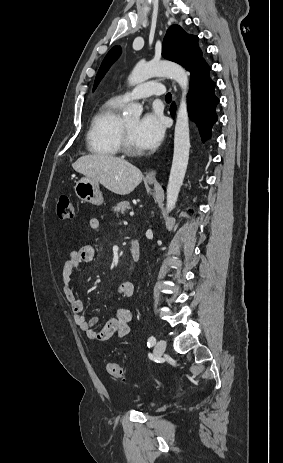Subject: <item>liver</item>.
Here are the masks:
<instances>
[{
  "instance_id": "1",
  "label": "liver",
  "mask_w": 283,
  "mask_h": 463,
  "mask_svg": "<svg viewBox=\"0 0 283 463\" xmlns=\"http://www.w3.org/2000/svg\"><path fill=\"white\" fill-rule=\"evenodd\" d=\"M73 169L100 182L105 188L118 195L131 193L142 181L143 174L128 161L107 154H90L78 158Z\"/></svg>"
}]
</instances>
